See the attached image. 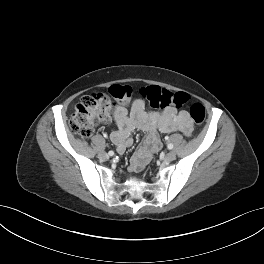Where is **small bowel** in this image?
<instances>
[{
  "mask_svg": "<svg viewBox=\"0 0 264 264\" xmlns=\"http://www.w3.org/2000/svg\"><path fill=\"white\" fill-rule=\"evenodd\" d=\"M114 116L117 129L112 131L111 139L120 154L132 145L131 134L136 129L147 132L146 138L131 157L132 172L142 169L152 155L160 150L159 133L180 131L186 137H190L194 130V124L186 111L167 108L162 112H147L144 102L140 99L133 102L130 112L126 108V103L116 105Z\"/></svg>",
  "mask_w": 264,
  "mask_h": 264,
  "instance_id": "c3829d8e",
  "label": "small bowel"
}]
</instances>
